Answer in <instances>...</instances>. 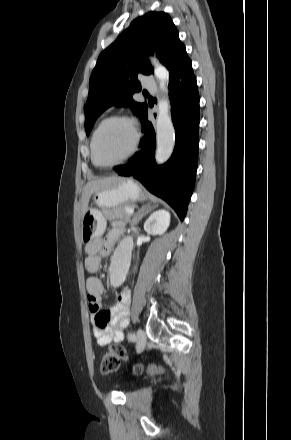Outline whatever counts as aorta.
I'll return each instance as SVG.
<instances>
[{"label": "aorta", "mask_w": 291, "mask_h": 440, "mask_svg": "<svg viewBox=\"0 0 291 440\" xmlns=\"http://www.w3.org/2000/svg\"><path fill=\"white\" fill-rule=\"evenodd\" d=\"M154 73L157 78L160 89L165 92V98L158 101V114L156 119V153L155 159L158 164L165 163L173 153L175 147V129L170 115V103L168 99L167 83L169 73L167 69L159 64L157 60L152 59ZM133 249V237L126 236L117 246L110 274L111 283L114 286L121 284L129 270L131 261V252Z\"/></svg>", "instance_id": "762f6f07"}]
</instances>
